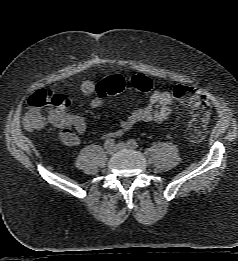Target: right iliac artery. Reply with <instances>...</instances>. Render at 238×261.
Wrapping results in <instances>:
<instances>
[{
  "instance_id": "1",
  "label": "right iliac artery",
  "mask_w": 238,
  "mask_h": 261,
  "mask_svg": "<svg viewBox=\"0 0 238 261\" xmlns=\"http://www.w3.org/2000/svg\"><path fill=\"white\" fill-rule=\"evenodd\" d=\"M114 143H115L114 139L109 138L105 141L104 146H105V148H108V147L114 146Z\"/></svg>"
}]
</instances>
